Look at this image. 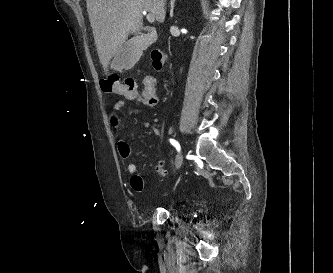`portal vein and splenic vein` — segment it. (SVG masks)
Instances as JSON below:
<instances>
[{
  "label": "portal vein and splenic vein",
  "instance_id": "obj_1",
  "mask_svg": "<svg viewBox=\"0 0 333 273\" xmlns=\"http://www.w3.org/2000/svg\"><path fill=\"white\" fill-rule=\"evenodd\" d=\"M146 18L149 23H153L155 21V17L152 14H147Z\"/></svg>",
  "mask_w": 333,
  "mask_h": 273
}]
</instances>
